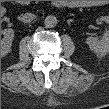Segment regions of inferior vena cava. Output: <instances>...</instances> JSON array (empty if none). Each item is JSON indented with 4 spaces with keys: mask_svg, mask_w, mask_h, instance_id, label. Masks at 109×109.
Instances as JSON below:
<instances>
[{
    "mask_svg": "<svg viewBox=\"0 0 109 109\" xmlns=\"http://www.w3.org/2000/svg\"><path fill=\"white\" fill-rule=\"evenodd\" d=\"M36 18L35 14L32 13H25L22 18L21 21L24 23H30L32 20H34Z\"/></svg>",
    "mask_w": 109,
    "mask_h": 109,
    "instance_id": "obj_1",
    "label": "inferior vena cava"
}]
</instances>
